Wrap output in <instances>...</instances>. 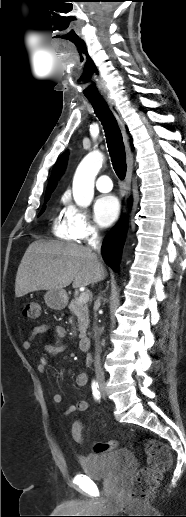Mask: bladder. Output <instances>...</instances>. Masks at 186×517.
Returning <instances> with one entry per match:
<instances>
[{"label": "bladder", "mask_w": 186, "mask_h": 517, "mask_svg": "<svg viewBox=\"0 0 186 517\" xmlns=\"http://www.w3.org/2000/svg\"><path fill=\"white\" fill-rule=\"evenodd\" d=\"M133 462V455L126 448L108 453H90L79 460L84 474L92 479H111L123 474Z\"/></svg>", "instance_id": "bladder-1"}]
</instances>
